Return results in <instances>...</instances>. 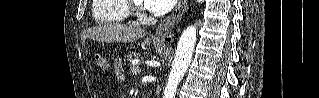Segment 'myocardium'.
Segmentation results:
<instances>
[{
	"label": "myocardium",
	"instance_id": "myocardium-1",
	"mask_svg": "<svg viewBox=\"0 0 319 98\" xmlns=\"http://www.w3.org/2000/svg\"><path fill=\"white\" fill-rule=\"evenodd\" d=\"M129 4L131 6V9L133 13L138 14L139 13V3L138 1H129Z\"/></svg>",
	"mask_w": 319,
	"mask_h": 98
}]
</instances>
